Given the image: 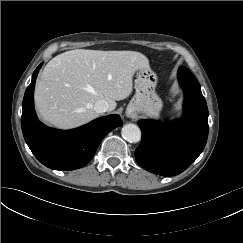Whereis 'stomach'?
<instances>
[{
    "mask_svg": "<svg viewBox=\"0 0 243 243\" xmlns=\"http://www.w3.org/2000/svg\"><path fill=\"white\" fill-rule=\"evenodd\" d=\"M157 81V75L149 66L137 70L136 92L128 105L127 113L137 112L153 118L159 117L163 102L155 91Z\"/></svg>",
    "mask_w": 243,
    "mask_h": 243,
    "instance_id": "0dacf381",
    "label": "stomach"
}]
</instances>
